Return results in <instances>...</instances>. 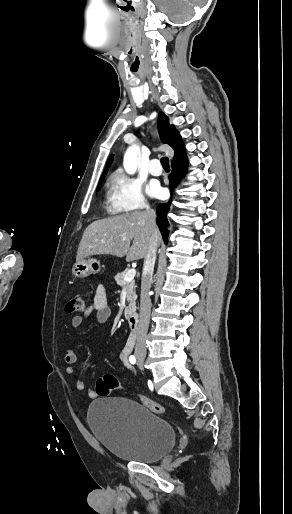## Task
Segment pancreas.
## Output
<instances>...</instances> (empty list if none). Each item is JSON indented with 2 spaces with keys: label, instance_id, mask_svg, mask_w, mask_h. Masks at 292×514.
<instances>
[{
  "label": "pancreas",
  "instance_id": "obj_1",
  "mask_svg": "<svg viewBox=\"0 0 292 514\" xmlns=\"http://www.w3.org/2000/svg\"><path fill=\"white\" fill-rule=\"evenodd\" d=\"M128 270H124V272H121V274H117L115 276V280L118 284V286H122L124 290H126V298L129 306L125 308V316H130L132 312H135L136 310V300H137V294L135 292V280H131V282H125L124 278L127 274Z\"/></svg>",
  "mask_w": 292,
  "mask_h": 514
}]
</instances>
